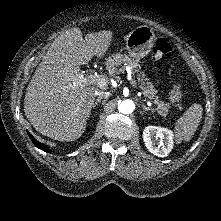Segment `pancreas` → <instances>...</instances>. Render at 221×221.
Segmentation results:
<instances>
[{"instance_id":"obj_1","label":"pancreas","mask_w":221,"mask_h":221,"mask_svg":"<svg viewBox=\"0 0 221 221\" xmlns=\"http://www.w3.org/2000/svg\"><path fill=\"white\" fill-rule=\"evenodd\" d=\"M122 64L131 68L132 74L137 76V81L140 83L139 88L142 89L143 95L153 102L160 115L166 116L169 110V104L158 99V96L156 95L157 90H155L149 79L145 78V74L141 71V67L137 60L131 59L126 54H114L112 58H109L106 62V69L108 70L109 75L116 77V75L119 74L117 67ZM134 82L136 84V81Z\"/></svg>"}]
</instances>
